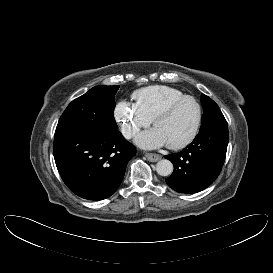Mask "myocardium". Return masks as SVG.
Wrapping results in <instances>:
<instances>
[{
  "instance_id": "1",
  "label": "myocardium",
  "mask_w": 273,
  "mask_h": 273,
  "mask_svg": "<svg viewBox=\"0 0 273 273\" xmlns=\"http://www.w3.org/2000/svg\"><path fill=\"white\" fill-rule=\"evenodd\" d=\"M186 100H190L192 101L195 105H196V108H197V119H196V123H195V126L192 130V132L190 133V135L185 139L183 140L182 142L180 143H177V144H167V146L170 148V149H174V150H179V149H182V148H185L186 146H188L195 138L196 136L198 135V132H199V129H200V126H201V122H202V108H201V105L200 103L192 96H189V95H184L178 99H175L173 101H171L170 103H168L162 110H160L156 115L155 117L153 118L152 120V123L155 127L156 123L161 120V119H164L166 117H168L171 112L173 111V109L179 105L180 103L186 101Z\"/></svg>"
}]
</instances>
